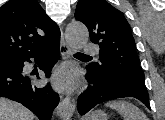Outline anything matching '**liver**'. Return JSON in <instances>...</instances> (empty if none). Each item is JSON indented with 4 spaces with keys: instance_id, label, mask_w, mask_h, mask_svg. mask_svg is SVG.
<instances>
[{
    "instance_id": "obj_1",
    "label": "liver",
    "mask_w": 165,
    "mask_h": 120,
    "mask_svg": "<svg viewBox=\"0 0 165 120\" xmlns=\"http://www.w3.org/2000/svg\"><path fill=\"white\" fill-rule=\"evenodd\" d=\"M33 113L22 104L0 98V120H33Z\"/></svg>"
}]
</instances>
